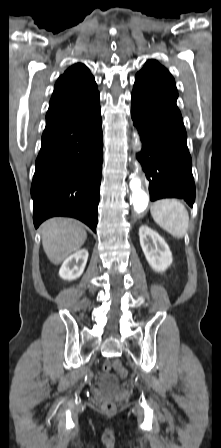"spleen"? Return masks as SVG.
<instances>
[{
  "label": "spleen",
  "mask_w": 221,
  "mask_h": 448,
  "mask_svg": "<svg viewBox=\"0 0 221 448\" xmlns=\"http://www.w3.org/2000/svg\"><path fill=\"white\" fill-rule=\"evenodd\" d=\"M154 221L174 238H183L189 227V214L185 206L176 199H161L150 208Z\"/></svg>",
  "instance_id": "1"
}]
</instances>
